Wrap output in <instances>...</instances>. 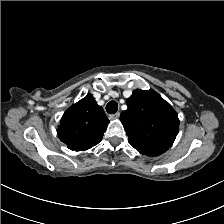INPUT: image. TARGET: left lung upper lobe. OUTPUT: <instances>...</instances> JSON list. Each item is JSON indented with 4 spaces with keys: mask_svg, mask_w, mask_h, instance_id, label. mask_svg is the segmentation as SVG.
I'll use <instances>...</instances> for the list:
<instances>
[{
    "mask_svg": "<svg viewBox=\"0 0 224 224\" xmlns=\"http://www.w3.org/2000/svg\"><path fill=\"white\" fill-rule=\"evenodd\" d=\"M128 109L120 120L128 142L141 154L158 156L173 144L179 130L178 115L153 90H135L127 99Z\"/></svg>",
    "mask_w": 224,
    "mask_h": 224,
    "instance_id": "1",
    "label": "left lung upper lobe"
}]
</instances>
